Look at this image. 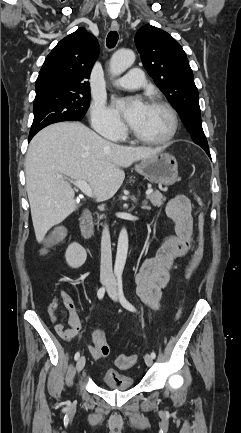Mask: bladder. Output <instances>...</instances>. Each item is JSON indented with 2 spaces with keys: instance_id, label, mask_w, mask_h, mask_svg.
Instances as JSON below:
<instances>
[{
  "instance_id": "bladder-1",
  "label": "bladder",
  "mask_w": 241,
  "mask_h": 433,
  "mask_svg": "<svg viewBox=\"0 0 241 433\" xmlns=\"http://www.w3.org/2000/svg\"><path fill=\"white\" fill-rule=\"evenodd\" d=\"M103 385L111 390H126L134 386L133 378L127 374L107 371L102 376Z\"/></svg>"
}]
</instances>
